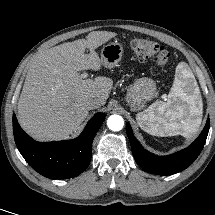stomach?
Wrapping results in <instances>:
<instances>
[{"label":"stomach","instance_id":"1","mask_svg":"<svg viewBox=\"0 0 215 215\" xmlns=\"http://www.w3.org/2000/svg\"><path fill=\"white\" fill-rule=\"evenodd\" d=\"M124 49L122 44L111 42L105 45L101 51V63L106 68L115 67L122 58ZM156 94V83L148 77H141L134 81L126 95V102L132 110L142 109L146 102L151 100Z\"/></svg>","mask_w":215,"mask_h":215}]
</instances>
